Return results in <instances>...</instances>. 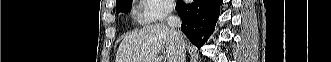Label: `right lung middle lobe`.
Masks as SVG:
<instances>
[{
    "instance_id": "1",
    "label": "right lung middle lobe",
    "mask_w": 331,
    "mask_h": 62,
    "mask_svg": "<svg viewBox=\"0 0 331 62\" xmlns=\"http://www.w3.org/2000/svg\"><path fill=\"white\" fill-rule=\"evenodd\" d=\"M132 6V2H129V0H121L120 2L116 3V12H124L127 13Z\"/></svg>"
}]
</instances>
